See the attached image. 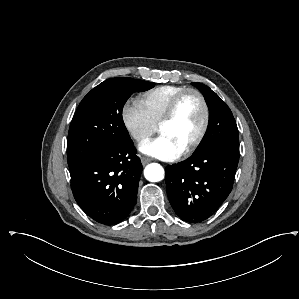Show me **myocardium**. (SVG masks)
Segmentation results:
<instances>
[{"label":"myocardium","mask_w":299,"mask_h":299,"mask_svg":"<svg viewBox=\"0 0 299 299\" xmlns=\"http://www.w3.org/2000/svg\"><path fill=\"white\" fill-rule=\"evenodd\" d=\"M190 94L196 95L202 104L203 121H202V124H201L198 134L183 150V152H182L183 154H189L193 150H195L200 145V143L203 141V139L206 135V132L208 130L209 123H210V109H209V105H208L207 100L204 97V95L199 90L194 89V88H186L185 90L181 91L171 101V103L169 104L168 108L165 111V114L163 115V117L161 118V120L158 123V130L162 126L170 123L174 119L182 100Z\"/></svg>","instance_id":"1"}]
</instances>
